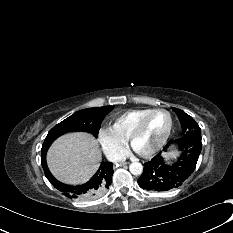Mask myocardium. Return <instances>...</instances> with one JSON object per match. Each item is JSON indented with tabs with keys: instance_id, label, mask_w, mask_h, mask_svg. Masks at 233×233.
I'll return each mask as SVG.
<instances>
[{
	"instance_id": "obj_1",
	"label": "myocardium",
	"mask_w": 233,
	"mask_h": 233,
	"mask_svg": "<svg viewBox=\"0 0 233 233\" xmlns=\"http://www.w3.org/2000/svg\"><path fill=\"white\" fill-rule=\"evenodd\" d=\"M156 112H165L168 117H169V124H168V128L164 134V136L162 137V139L152 148H150L149 150L146 151H139L136 147H135V141L138 138V136L141 134L148 118L156 113ZM172 126H173V116L171 114V112L165 108H155V109H151L149 112H147L144 116H142L139 121L136 123L135 127L133 128V130L131 131L129 137H128V144L129 146L132 148V150L134 152H136L138 155L143 156V157H150L153 154H155L158 150H160L167 142L171 131H172Z\"/></svg>"
}]
</instances>
